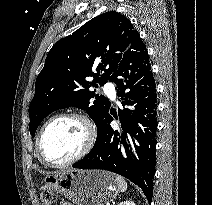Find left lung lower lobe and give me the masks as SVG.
I'll use <instances>...</instances> for the list:
<instances>
[{
  "mask_svg": "<svg viewBox=\"0 0 212 205\" xmlns=\"http://www.w3.org/2000/svg\"><path fill=\"white\" fill-rule=\"evenodd\" d=\"M124 109H119L121 127L114 130L112 110L97 127L94 147L73 165L120 174L138 185L149 203L153 195L156 163L157 99L149 56L140 35L135 36L117 69L110 76Z\"/></svg>",
  "mask_w": 212,
  "mask_h": 205,
  "instance_id": "0a47b994",
  "label": "left lung lower lobe"
}]
</instances>
